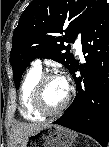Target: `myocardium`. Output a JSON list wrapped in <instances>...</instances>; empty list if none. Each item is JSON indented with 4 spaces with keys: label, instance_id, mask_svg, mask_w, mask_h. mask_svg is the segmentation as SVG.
Listing matches in <instances>:
<instances>
[{
    "label": "myocardium",
    "instance_id": "obj_1",
    "mask_svg": "<svg viewBox=\"0 0 109 147\" xmlns=\"http://www.w3.org/2000/svg\"><path fill=\"white\" fill-rule=\"evenodd\" d=\"M55 78H61L62 80L66 81V79L64 78V76L62 74L46 73V74H42L40 76V78L38 79V81L36 82V84L33 88L31 98H30V105H31L32 109L35 112L39 113L40 115H43V116L58 115V114L62 113L69 104L71 89H70L69 85L67 84V95H66V98L63 101V103L55 109H48L45 106V103L43 100V88L49 80L55 79Z\"/></svg>",
    "mask_w": 109,
    "mask_h": 147
}]
</instances>
